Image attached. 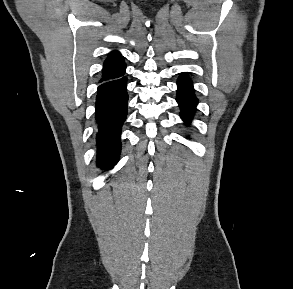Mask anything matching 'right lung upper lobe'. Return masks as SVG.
Returning <instances> with one entry per match:
<instances>
[{
    "mask_svg": "<svg viewBox=\"0 0 293 289\" xmlns=\"http://www.w3.org/2000/svg\"><path fill=\"white\" fill-rule=\"evenodd\" d=\"M125 68L126 64L119 52L109 53L104 62L102 78L99 82H107L122 77L125 73Z\"/></svg>",
    "mask_w": 293,
    "mask_h": 289,
    "instance_id": "right-lung-upper-lobe-1",
    "label": "right lung upper lobe"
}]
</instances>
